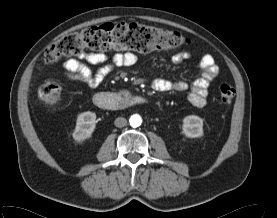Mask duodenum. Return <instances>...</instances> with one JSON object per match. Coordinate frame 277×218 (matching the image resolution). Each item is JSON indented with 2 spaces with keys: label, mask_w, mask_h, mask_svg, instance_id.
<instances>
[{
  "label": "duodenum",
  "mask_w": 277,
  "mask_h": 218,
  "mask_svg": "<svg viewBox=\"0 0 277 218\" xmlns=\"http://www.w3.org/2000/svg\"><path fill=\"white\" fill-rule=\"evenodd\" d=\"M145 101L143 97L134 96L129 93L111 95L106 92H98L94 96L95 105L109 111L124 110L134 105L144 104Z\"/></svg>",
  "instance_id": "410a0bca"
}]
</instances>
